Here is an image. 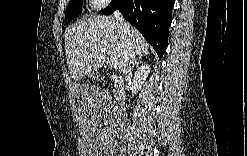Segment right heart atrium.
<instances>
[{
  "instance_id": "obj_1",
  "label": "right heart atrium",
  "mask_w": 247,
  "mask_h": 156,
  "mask_svg": "<svg viewBox=\"0 0 247 156\" xmlns=\"http://www.w3.org/2000/svg\"><path fill=\"white\" fill-rule=\"evenodd\" d=\"M92 4L96 8L101 9V8H104L108 4V2L105 0H94V1H92Z\"/></svg>"
}]
</instances>
